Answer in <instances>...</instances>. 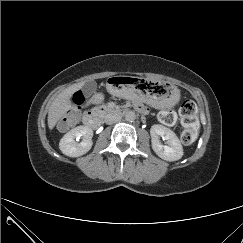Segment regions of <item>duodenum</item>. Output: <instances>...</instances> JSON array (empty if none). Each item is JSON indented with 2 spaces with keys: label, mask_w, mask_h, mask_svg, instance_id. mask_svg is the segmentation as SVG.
Wrapping results in <instances>:
<instances>
[{
  "label": "duodenum",
  "mask_w": 243,
  "mask_h": 243,
  "mask_svg": "<svg viewBox=\"0 0 243 243\" xmlns=\"http://www.w3.org/2000/svg\"><path fill=\"white\" fill-rule=\"evenodd\" d=\"M128 112V109L124 108H111V107H102L95 110L88 111L83 118V121L86 126L90 128H98L102 122V119L110 114L115 115H124Z\"/></svg>",
  "instance_id": "1"
}]
</instances>
